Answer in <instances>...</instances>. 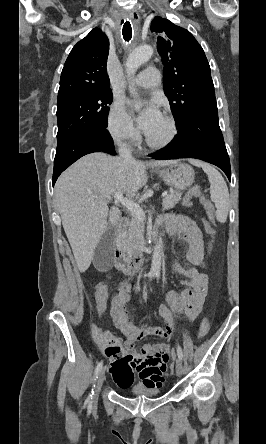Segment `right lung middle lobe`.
I'll list each match as a JSON object with an SVG mask.
<instances>
[{"mask_svg": "<svg viewBox=\"0 0 266 444\" xmlns=\"http://www.w3.org/2000/svg\"><path fill=\"white\" fill-rule=\"evenodd\" d=\"M110 89L74 94L57 102V149L76 136L97 129H106Z\"/></svg>", "mask_w": 266, "mask_h": 444, "instance_id": "1", "label": "right lung middle lobe"}]
</instances>
